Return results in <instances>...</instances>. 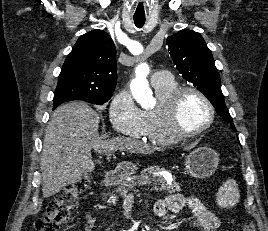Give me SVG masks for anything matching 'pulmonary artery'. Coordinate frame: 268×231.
Listing matches in <instances>:
<instances>
[{"instance_id":"e3ab8cb5","label":"pulmonary artery","mask_w":268,"mask_h":231,"mask_svg":"<svg viewBox=\"0 0 268 231\" xmlns=\"http://www.w3.org/2000/svg\"><path fill=\"white\" fill-rule=\"evenodd\" d=\"M168 79H169V72L166 70L157 71L153 73L150 78L152 85L168 80Z\"/></svg>"}]
</instances>
